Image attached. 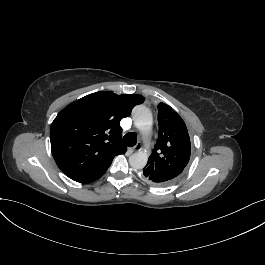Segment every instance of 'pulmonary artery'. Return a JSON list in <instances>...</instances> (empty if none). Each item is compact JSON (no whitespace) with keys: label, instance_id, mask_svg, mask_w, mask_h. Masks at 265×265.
<instances>
[{"label":"pulmonary artery","instance_id":"1","mask_svg":"<svg viewBox=\"0 0 265 265\" xmlns=\"http://www.w3.org/2000/svg\"><path fill=\"white\" fill-rule=\"evenodd\" d=\"M146 139H147V142L149 143L148 151L151 154H154L157 151V145L155 144V142H156L155 129L152 126H149L146 129Z\"/></svg>","mask_w":265,"mask_h":265}]
</instances>
